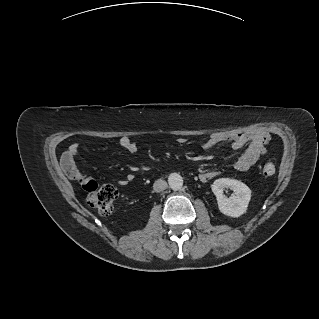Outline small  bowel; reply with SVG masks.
<instances>
[{"label": "small bowel", "instance_id": "small-bowel-1", "mask_svg": "<svg viewBox=\"0 0 319 319\" xmlns=\"http://www.w3.org/2000/svg\"><path fill=\"white\" fill-rule=\"evenodd\" d=\"M269 140V136L260 130L252 132H225L216 133L209 137V139L203 144L204 149L212 150L221 144H229L234 150L245 148L242 155L235 162V168L238 171H247L253 166L262 154L265 152V146ZM120 146L127 152L133 154L137 151V145L128 137L122 136L119 139ZM72 150H76V146L72 147ZM216 171H203L198 175V178L202 182H208L217 176ZM70 175L73 178H79L80 175L76 169L71 168ZM133 176L120 179L117 184L119 186H126Z\"/></svg>", "mask_w": 319, "mask_h": 319}]
</instances>
